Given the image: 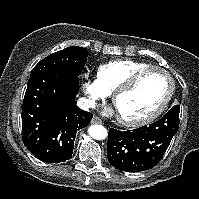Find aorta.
I'll return each mask as SVG.
<instances>
[{
  "label": "aorta",
  "mask_w": 199,
  "mask_h": 199,
  "mask_svg": "<svg viewBox=\"0 0 199 199\" xmlns=\"http://www.w3.org/2000/svg\"><path fill=\"white\" fill-rule=\"evenodd\" d=\"M89 135L95 140H103L107 137V129L102 125H92L88 129Z\"/></svg>",
  "instance_id": "762f6f07"
}]
</instances>
